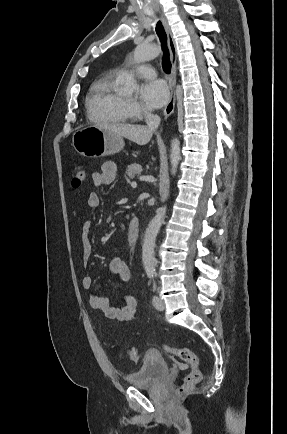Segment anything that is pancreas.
Wrapping results in <instances>:
<instances>
[{
    "mask_svg": "<svg viewBox=\"0 0 287 434\" xmlns=\"http://www.w3.org/2000/svg\"><path fill=\"white\" fill-rule=\"evenodd\" d=\"M142 172V166L140 164H131L126 169V174L130 179H133L136 175H140Z\"/></svg>",
    "mask_w": 287,
    "mask_h": 434,
    "instance_id": "cf45deb5",
    "label": "pancreas"
}]
</instances>
